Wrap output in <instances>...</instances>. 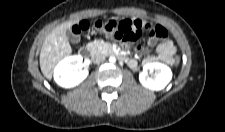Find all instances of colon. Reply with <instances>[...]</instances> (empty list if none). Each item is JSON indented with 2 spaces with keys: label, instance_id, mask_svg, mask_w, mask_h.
Returning a JSON list of instances; mask_svg holds the SVG:
<instances>
[{
  "label": "colon",
  "instance_id": "1",
  "mask_svg": "<svg viewBox=\"0 0 225 132\" xmlns=\"http://www.w3.org/2000/svg\"><path fill=\"white\" fill-rule=\"evenodd\" d=\"M95 28L101 31L102 33H106L113 36L115 39L125 40V41H136L139 38L142 31V28H137L134 31L122 32L116 27V25L112 21H108V22L97 21L95 23ZM166 37H167L166 30L159 26L149 30V38L158 39V38H166ZM179 61H180V56H176L174 59V63L175 64L179 63Z\"/></svg>",
  "mask_w": 225,
  "mask_h": 132
}]
</instances>
